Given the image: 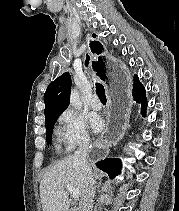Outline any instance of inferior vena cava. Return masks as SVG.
Segmentation results:
<instances>
[{
  "label": "inferior vena cava",
  "instance_id": "1",
  "mask_svg": "<svg viewBox=\"0 0 179 211\" xmlns=\"http://www.w3.org/2000/svg\"><path fill=\"white\" fill-rule=\"evenodd\" d=\"M89 148V139L83 140L79 148L74 153V159L78 162L85 178L86 189L83 195V198L80 201V211H92L93 207V198L95 196V187L92 176V169L87 161V154Z\"/></svg>",
  "mask_w": 179,
  "mask_h": 211
}]
</instances>
